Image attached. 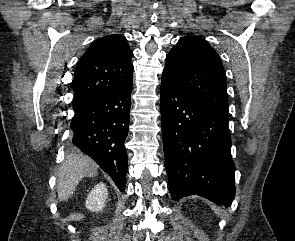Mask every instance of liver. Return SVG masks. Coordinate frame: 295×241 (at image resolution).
Wrapping results in <instances>:
<instances>
[{"label": "liver", "instance_id": "liver-1", "mask_svg": "<svg viewBox=\"0 0 295 241\" xmlns=\"http://www.w3.org/2000/svg\"><path fill=\"white\" fill-rule=\"evenodd\" d=\"M98 165L82 153L69 154L57 173V193L59 201L68 200L83 177L97 174Z\"/></svg>", "mask_w": 295, "mask_h": 241}]
</instances>
